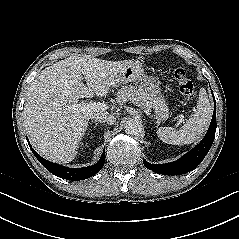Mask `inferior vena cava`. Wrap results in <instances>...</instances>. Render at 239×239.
I'll return each instance as SVG.
<instances>
[{
  "label": "inferior vena cava",
  "mask_w": 239,
  "mask_h": 239,
  "mask_svg": "<svg viewBox=\"0 0 239 239\" xmlns=\"http://www.w3.org/2000/svg\"><path fill=\"white\" fill-rule=\"evenodd\" d=\"M91 119H94L95 121L100 122H106L107 124H114L116 121V118L111 114H103V115H94L91 117Z\"/></svg>",
  "instance_id": "1"
}]
</instances>
